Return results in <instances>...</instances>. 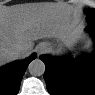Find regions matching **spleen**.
<instances>
[{"label":"spleen","instance_id":"1","mask_svg":"<svg viewBox=\"0 0 95 95\" xmlns=\"http://www.w3.org/2000/svg\"><path fill=\"white\" fill-rule=\"evenodd\" d=\"M72 57H73V58H77V54H74Z\"/></svg>","mask_w":95,"mask_h":95}]
</instances>
